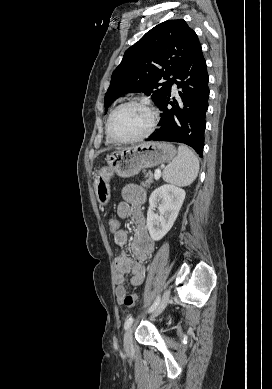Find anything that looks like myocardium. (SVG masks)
<instances>
[{"label":"myocardium","instance_id":"obj_1","mask_svg":"<svg viewBox=\"0 0 272 389\" xmlns=\"http://www.w3.org/2000/svg\"><path fill=\"white\" fill-rule=\"evenodd\" d=\"M128 105H137V106L144 108L149 113L150 122H149L147 129L144 132H142L141 134L134 136V137H131V138H127V139H119V138L114 137L112 132H111V121H112L113 116L115 115V113L118 110H120L121 108L128 106ZM157 120H158V114H157L156 110L147 101L142 100V99H136V98L129 99V100L124 101V102L120 103L119 105H117L109 114L107 122H106V134H107L108 138L114 143L127 144V143L137 142V141H140V140L148 137L154 131L156 124H157Z\"/></svg>","mask_w":272,"mask_h":389}]
</instances>
